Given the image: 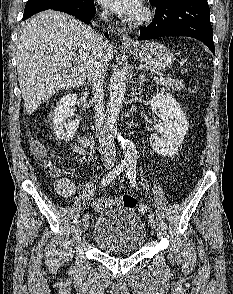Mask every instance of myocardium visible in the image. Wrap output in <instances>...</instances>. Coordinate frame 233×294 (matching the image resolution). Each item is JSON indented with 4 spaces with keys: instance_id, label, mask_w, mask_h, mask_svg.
Instances as JSON below:
<instances>
[{
    "instance_id": "1",
    "label": "myocardium",
    "mask_w": 233,
    "mask_h": 294,
    "mask_svg": "<svg viewBox=\"0 0 233 294\" xmlns=\"http://www.w3.org/2000/svg\"><path fill=\"white\" fill-rule=\"evenodd\" d=\"M151 19V12L148 8L142 10V12L136 17L135 22L138 24L145 23Z\"/></svg>"
}]
</instances>
